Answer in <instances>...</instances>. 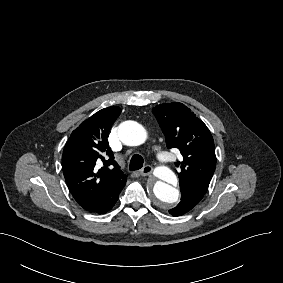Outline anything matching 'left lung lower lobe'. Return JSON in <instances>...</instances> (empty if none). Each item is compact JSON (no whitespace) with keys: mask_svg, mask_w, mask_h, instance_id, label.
<instances>
[{"mask_svg":"<svg viewBox=\"0 0 283 283\" xmlns=\"http://www.w3.org/2000/svg\"><path fill=\"white\" fill-rule=\"evenodd\" d=\"M181 190V202L173 209L169 210V213L173 216H180L190 211L195 205H197L205 193L192 187L180 188Z\"/></svg>","mask_w":283,"mask_h":283,"instance_id":"left-lung-lower-lobe-1","label":"left lung lower lobe"}]
</instances>
